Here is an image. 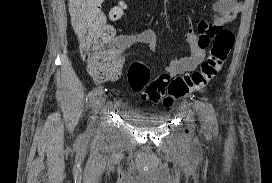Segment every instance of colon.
Returning <instances> with one entry per match:
<instances>
[{"label":"colon","instance_id":"colon-1","mask_svg":"<svg viewBox=\"0 0 272 183\" xmlns=\"http://www.w3.org/2000/svg\"><path fill=\"white\" fill-rule=\"evenodd\" d=\"M103 1L69 0L72 26L79 41L81 57L86 61L91 74L98 78H104L119 64V56L110 43L112 32L101 12ZM122 8V3L115 6L110 13L111 19H119ZM209 40L212 44L209 57L197 71L189 75L171 77L163 74L150 80L147 66L133 62L127 73L130 88L139 93L143 101L157 103L162 100L167 107L176 99L205 89L226 62L234 44V36L230 31L219 28V34H214Z\"/></svg>","mask_w":272,"mask_h":183}]
</instances>
